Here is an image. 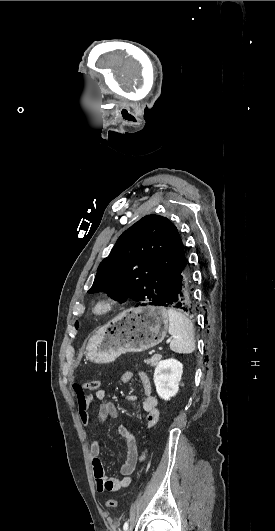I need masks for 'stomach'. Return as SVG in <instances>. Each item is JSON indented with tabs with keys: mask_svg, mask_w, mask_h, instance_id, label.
Listing matches in <instances>:
<instances>
[{
	"mask_svg": "<svg viewBox=\"0 0 275 531\" xmlns=\"http://www.w3.org/2000/svg\"><path fill=\"white\" fill-rule=\"evenodd\" d=\"M169 327L164 307L146 301L143 307H132L98 329L86 347V359L96 365L112 363L122 353H142L162 343Z\"/></svg>",
	"mask_w": 275,
	"mask_h": 531,
	"instance_id": "stomach-1",
	"label": "stomach"
}]
</instances>
